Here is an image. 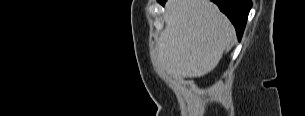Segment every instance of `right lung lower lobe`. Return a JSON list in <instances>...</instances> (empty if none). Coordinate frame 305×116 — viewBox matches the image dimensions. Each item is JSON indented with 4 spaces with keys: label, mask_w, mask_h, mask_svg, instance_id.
<instances>
[{
    "label": "right lung lower lobe",
    "mask_w": 305,
    "mask_h": 116,
    "mask_svg": "<svg viewBox=\"0 0 305 116\" xmlns=\"http://www.w3.org/2000/svg\"><path fill=\"white\" fill-rule=\"evenodd\" d=\"M219 9L227 15L236 29L238 39L240 40L247 22L249 11L252 7L251 0H212ZM164 5L166 0H158Z\"/></svg>",
    "instance_id": "98d812e1"
}]
</instances>
